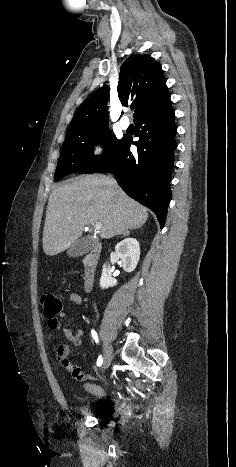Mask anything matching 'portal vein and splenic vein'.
I'll use <instances>...</instances> for the list:
<instances>
[{
  "mask_svg": "<svg viewBox=\"0 0 236 467\" xmlns=\"http://www.w3.org/2000/svg\"><path fill=\"white\" fill-rule=\"evenodd\" d=\"M93 227L95 230H100L102 228V224L101 223H96V224H93Z\"/></svg>",
  "mask_w": 236,
  "mask_h": 467,
  "instance_id": "obj_1",
  "label": "portal vein and splenic vein"
}]
</instances>
